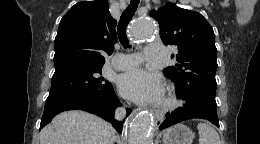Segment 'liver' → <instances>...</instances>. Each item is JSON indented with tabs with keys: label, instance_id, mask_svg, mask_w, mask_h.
Segmentation results:
<instances>
[{
	"label": "liver",
	"instance_id": "6515ba94",
	"mask_svg": "<svg viewBox=\"0 0 260 144\" xmlns=\"http://www.w3.org/2000/svg\"><path fill=\"white\" fill-rule=\"evenodd\" d=\"M114 128L84 111L60 113L40 133V144H114Z\"/></svg>",
	"mask_w": 260,
	"mask_h": 144
}]
</instances>
